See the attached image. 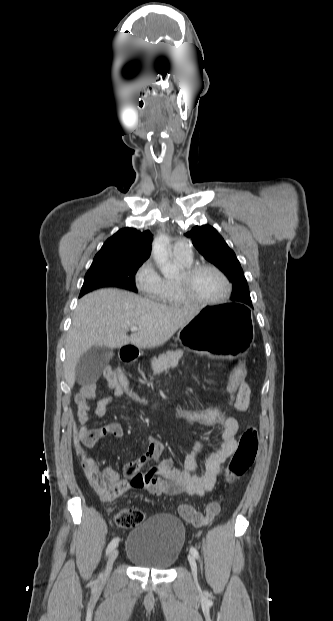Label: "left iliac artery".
Segmentation results:
<instances>
[{"label": "left iliac artery", "instance_id": "1", "mask_svg": "<svg viewBox=\"0 0 333 621\" xmlns=\"http://www.w3.org/2000/svg\"><path fill=\"white\" fill-rule=\"evenodd\" d=\"M190 552L192 553V555H193L196 559H198V558H199V552H198V550H197L195 547H191V548H190Z\"/></svg>", "mask_w": 333, "mask_h": 621}]
</instances>
